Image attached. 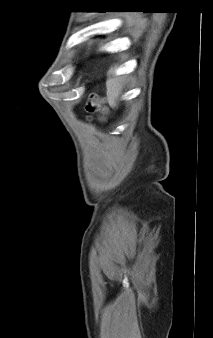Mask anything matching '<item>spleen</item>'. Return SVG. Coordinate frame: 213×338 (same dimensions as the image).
<instances>
[{
	"instance_id": "obj_1",
	"label": "spleen",
	"mask_w": 213,
	"mask_h": 338,
	"mask_svg": "<svg viewBox=\"0 0 213 338\" xmlns=\"http://www.w3.org/2000/svg\"><path fill=\"white\" fill-rule=\"evenodd\" d=\"M106 84L109 103L112 107H116V100L121 93L122 87L120 84V79L114 75V68L109 70V78Z\"/></svg>"
}]
</instances>
